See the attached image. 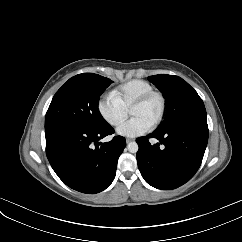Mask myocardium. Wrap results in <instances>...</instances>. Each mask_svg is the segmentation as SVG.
Returning a JSON list of instances; mask_svg holds the SVG:
<instances>
[{"label":"myocardium","instance_id":"myocardium-1","mask_svg":"<svg viewBox=\"0 0 242 242\" xmlns=\"http://www.w3.org/2000/svg\"><path fill=\"white\" fill-rule=\"evenodd\" d=\"M154 97H157L160 101V112H159V115H158L157 119L155 120V122L151 125V128L158 127L161 124V122L163 121L165 113H166V105H167L166 98L162 92L157 91V90H152V91L145 93L144 95L139 97L137 100H135L129 109L131 112L134 108L144 105L145 103H147L149 100H151Z\"/></svg>","mask_w":242,"mask_h":242}]
</instances>
